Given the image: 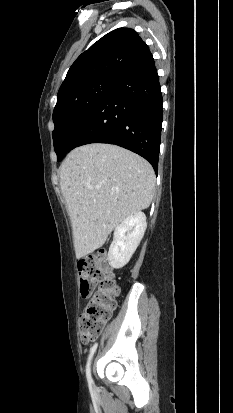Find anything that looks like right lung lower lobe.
I'll return each mask as SVG.
<instances>
[{"instance_id": "obj_1", "label": "right lung lower lobe", "mask_w": 233, "mask_h": 413, "mask_svg": "<svg viewBox=\"0 0 233 413\" xmlns=\"http://www.w3.org/2000/svg\"><path fill=\"white\" fill-rule=\"evenodd\" d=\"M162 94L151 52L116 77L72 146L109 143L129 149L158 170Z\"/></svg>"}]
</instances>
